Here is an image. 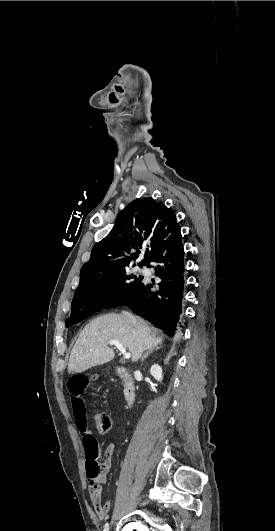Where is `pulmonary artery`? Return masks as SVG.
<instances>
[{
    "label": "pulmonary artery",
    "mask_w": 275,
    "mask_h": 531,
    "mask_svg": "<svg viewBox=\"0 0 275 531\" xmlns=\"http://www.w3.org/2000/svg\"><path fill=\"white\" fill-rule=\"evenodd\" d=\"M143 273H148V270L146 268L142 269Z\"/></svg>",
    "instance_id": "obj_1"
}]
</instances>
